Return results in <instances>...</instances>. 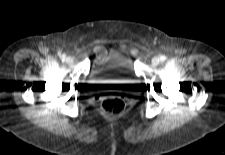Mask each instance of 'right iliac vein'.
<instances>
[{
	"label": "right iliac vein",
	"instance_id": "right-iliac-vein-1",
	"mask_svg": "<svg viewBox=\"0 0 225 155\" xmlns=\"http://www.w3.org/2000/svg\"><path fill=\"white\" fill-rule=\"evenodd\" d=\"M65 62H66L68 65H73V63H74V58L71 57V56H68V57H66Z\"/></svg>",
	"mask_w": 225,
	"mask_h": 155
}]
</instances>
